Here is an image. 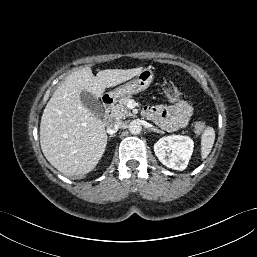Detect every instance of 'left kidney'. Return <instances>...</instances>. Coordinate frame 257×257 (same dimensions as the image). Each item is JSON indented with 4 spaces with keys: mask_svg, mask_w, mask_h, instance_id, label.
<instances>
[{
    "mask_svg": "<svg viewBox=\"0 0 257 257\" xmlns=\"http://www.w3.org/2000/svg\"><path fill=\"white\" fill-rule=\"evenodd\" d=\"M194 148V142L190 137L170 135L160 138L154 144V152L159 161L174 170L186 169ZM172 153L168 154L167 151Z\"/></svg>",
    "mask_w": 257,
    "mask_h": 257,
    "instance_id": "obj_1",
    "label": "left kidney"
}]
</instances>
